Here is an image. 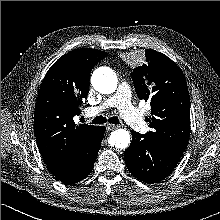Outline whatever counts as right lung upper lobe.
Here are the masks:
<instances>
[{
	"label": "right lung upper lobe",
	"instance_id": "right-lung-upper-lobe-1",
	"mask_svg": "<svg viewBox=\"0 0 220 220\" xmlns=\"http://www.w3.org/2000/svg\"><path fill=\"white\" fill-rule=\"evenodd\" d=\"M108 55L92 48L70 51L59 58L41 84L34 113L39 152L56 174L71 165L97 127L76 125L73 117L89 91V77L96 63Z\"/></svg>",
	"mask_w": 220,
	"mask_h": 220
}]
</instances>
